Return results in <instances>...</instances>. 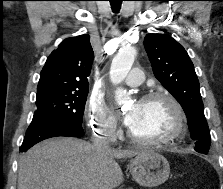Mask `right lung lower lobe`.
Segmentation results:
<instances>
[{
  "mask_svg": "<svg viewBox=\"0 0 223 189\" xmlns=\"http://www.w3.org/2000/svg\"><path fill=\"white\" fill-rule=\"evenodd\" d=\"M84 135L83 129L75 128L69 123L42 117H33L28 127L20 152H26L36 143L57 136L80 137Z\"/></svg>",
  "mask_w": 223,
  "mask_h": 189,
  "instance_id": "right-lung-lower-lobe-1",
  "label": "right lung lower lobe"
}]
</instances>
